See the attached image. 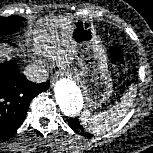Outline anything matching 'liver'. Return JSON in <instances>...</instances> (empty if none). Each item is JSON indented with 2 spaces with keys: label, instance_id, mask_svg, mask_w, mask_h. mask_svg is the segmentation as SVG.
Masks as SVG:
<instances>
[{
  "label": "liver",
  "instance_id": "6515ba94",
  "mask_svg": "<svg viewBox=\"0 0 153 153\" xmlns=\"http://www.w3.org/2000/svg\"><path fill=\"white\" fill-rule=\"evenodd\" d=\"M49 30L50 34L45 28L36 32L35 53L40 54L45 51L58 61L59 66H69L75 56V46L71 38L72 20H56ZM7 56L8 51L0 47V61Z\"/></svg>",
  "mask_w": 153,
  "mask_h": 153
}]
</instances>
